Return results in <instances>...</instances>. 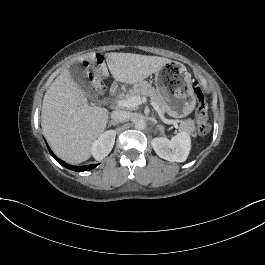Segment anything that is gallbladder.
<instances>
[{"instance_id":"obj_1","label":"gallbladder","mask_w":265,"mask_h":265,"mask_svg":"<svg viewBox=\"0 0 265 265\" xmlns=\"http://www.w3.org/2000/svg\"><path fill=\"white\" fill-rule=\"evenodd\" d=\"M70 72L74 81L86 94H89L92 86L88 80L86 68L80 63H74L70 68ZM91 98H97V95H92Z\"/></svg>"}]
</instances>
